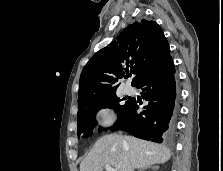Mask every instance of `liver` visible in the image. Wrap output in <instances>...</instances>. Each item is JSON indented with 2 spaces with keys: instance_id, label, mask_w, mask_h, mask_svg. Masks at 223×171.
I'll use <instances>...</instances> for the list:
<instances>
[{
  "instance_id": "liver-1",
  "label": "liver",
  "mask_w": 223,
  "mask_h": 171,
  "mask_svg": "<svg viewBox=\"0 0 223 171\" xmlns=\"http://www.w3.org/2000/svg\"><path fill=\"white\" fill-rule=\"evenodd\" d=\"M171 157L170 150L160 144L132 136L109 134L99 138L80 164V171H103L105 165L118 171H127V166L144 168L162 164Z\"/></svg>"
}]
</instances>
